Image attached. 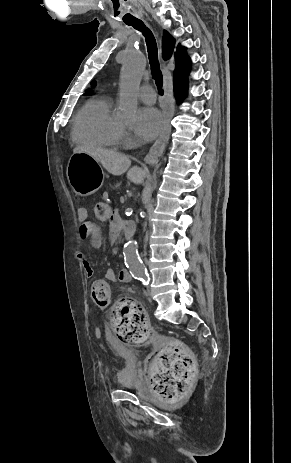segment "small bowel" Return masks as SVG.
Segmentation results:
<instances>
[{"instance_id":"1","label":"small bowel","mask_w":291,"mask_h":463,"mask_svg":"<svg viewBox=\"0 0 291 463\" xmlns=\"http://www.w3.org/2000/svg\"><path fill=\"white\" fill-rule=\"evenodd\" d=\"M88 216L89 214L86 208H81L78 211V219L80 221L79 236L80 239H89L91 246L95 249H99L102 246V233L98 226L89 220ZM119 220L118 215L113 212L112 218L107 219L109 222V236L111 237L110 244L112 246H117L120 243L118 239L120 237V228L117 226ZM76 255L82 264L85 276L91 278L94 275V271L89 262L85 259L81 251H77ZM104 277L110 282L119 281L128 283L131 281V275H128L124 269L121 270L118 275L113 269H107L104 273Z\"/></svg>"}]
</instances>
